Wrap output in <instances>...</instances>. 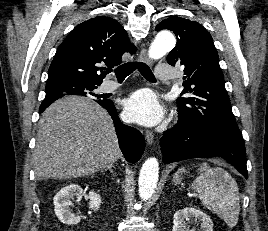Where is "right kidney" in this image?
Returning <instances> with one entry per match:
<instances>
[{"label": "right kidney", "instance_id": "1", "mask_svg": "<svg viewBox=\"0 0 268 231\" xmlns=\"http://www.w3.org/2000/svg\"><path fill=\"white\" fill-rule=\"evenodd\" d=\"M84 195L86 199L90 200L89 208L97 211L101 205V196L93 191L88 194L83 192L82 188L77 184H70L63 187L54 197L55 214L58 219L68 225L78 224L81 217L75 215L70 210V206H73L71 199L74 196Z\"/></svg>", "mask_w": 268, "mask_h": 231}]
</instances>
